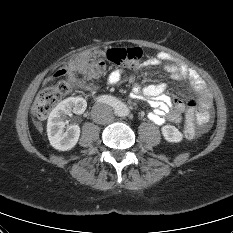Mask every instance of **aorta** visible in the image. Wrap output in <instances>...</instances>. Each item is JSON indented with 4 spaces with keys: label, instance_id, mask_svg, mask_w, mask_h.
<instances>
[{
    "label": "aorta",
    "instance_id": "obj_1",
    "mask_svg": "<svg viewBox=\"0 0 233 233\" xmlns=\"http://www.w3.org/2000/svg\"><path fill=\"white\" fill-rule=\"evenodd\" d=\"M128 113V109L125 107L124 108V114H127Z\"/></svg>",
    "mask_w": 233,
    "mask_h": 233
}]
</instances>
